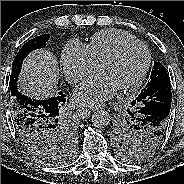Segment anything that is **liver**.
I'll use <instances>...</instances> for the list:
<instances>
[{
  "label": "liver",
  "instance_id": "6515ba94",
  "mask_svg": "<svg viewBox=\"0 0 184 184\" xmlns=\"http://www.w3.org/2000/svg\"><path fill=\"white\" fill-rule=\"evenodd\" d=\"M57 72V58L50 51H33L23 63L19 90L37 99L53 96L58 84Z\"/></svg>",
  "mask_w": 184,
  "mask_h": 184
}]
</instances>
